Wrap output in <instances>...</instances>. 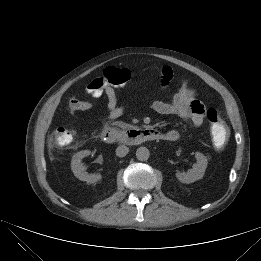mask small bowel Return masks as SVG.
<instances>
[{"instance_id":"small-bowel-1","label":"small bowel","mask_w":261,"mask_h":261,"mask_svg":"<svg viewBox=\"0 0 261 261\" xmlns=\"http://www.w3.org/2000/svg\"><path fill=\"white\" fill-rule=\"evenodd\" d=\"M173 77V69L168 66L163 67L160 78L161 89L166 88L172 81ZM102 95H105L107 99L106 119L113 120L124 113L126 107L118 102L116 86L106 85L103 88ZM94 98L97 99L99 97ZM95 103V100H81L76 97H72L69 100L68 106L72 111H87L92 109L95 106ZM151 105L153 110L157 113L161 115L179 116L195 127H199L203 123L205 107L196 98L195 91L189 86L187 81L182 82L179 91L174 95L170 102L154 99ZM160 133L162 135L160 140L164 141H175L179 137L178 131L174 129Z\"/></svg>"}]
</instances>
